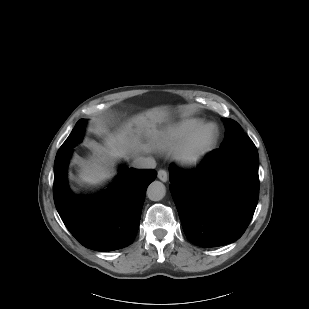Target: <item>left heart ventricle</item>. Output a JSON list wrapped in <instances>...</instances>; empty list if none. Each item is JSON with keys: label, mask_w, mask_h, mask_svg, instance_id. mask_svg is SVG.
I'll return each mask as SVG.
<instances>
[{"label": "left heart ventricle", "mask_w": 309, "mask_h": 309, "mask_svg": "<svg viewBox=\"0 0 309 309\" xmlns=\"http://www.w3.org/2000/svg\"><path fill=\"white\" fill-rule=\"evenodd\" d=\"M205 137H206V134H205V135H203V136L200 138V140H199V142H198V143H201V142L205 139Z\"/></svg>", "instance_id": "left-heart-ventricle-1"}]
</instances>
